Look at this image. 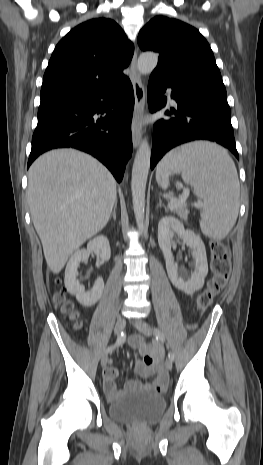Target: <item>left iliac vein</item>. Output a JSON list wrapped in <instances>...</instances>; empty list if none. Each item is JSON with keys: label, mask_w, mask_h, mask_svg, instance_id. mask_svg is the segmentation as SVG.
Masks as SVG:
<instances>
[{"label": "left iliac vein", "mask_w": 263, "mask_h": 465, "mask_svg": "<svg viewBox=\"0 0 263 465\" xmlns=\"http://www.w3.org/2000/svg\"><path fill=\"white\" fill-rule=\"evenodd\" d=\"M133 325L144 335L150 336L152 334V329L150 325L142 319H136L133 321ZM165 366L168 370L172 369L173 363L172 360L167 358L165 361Z\"/></svg>", "instance_id": "left-iliac-vein-1"}]
</instances>
